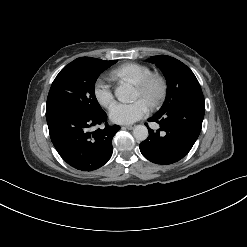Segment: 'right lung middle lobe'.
Wrapping results in <instances>:
<instances>
[{
    "label": "right lung middle lobe",
    "instance_id": "dd1d6c3e",
    "mask_svg": "<svg viewBox=\"0 0 247 247\" xmlns=\"http://www.w3.org/2000/svg\"><path fill=\"white\" fill-rule=\"evenodd\" d=\"M116 62L81 57L66 65L51 85L46 118L68 112L96 115L103 111L95 97V82L104 70Z\"/></svg>",
    "mask_w": 247,
    "mask_h": 247
}]
</instances>
